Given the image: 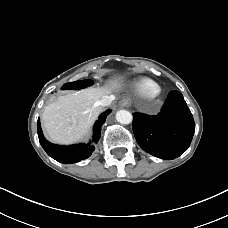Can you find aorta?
I'll return each mask as SVG.
<instances>
[{
  "label": "aorta",
  "mask_w": 228,
  "mask_h": 228,
  "mask_svg": "<svg viewBox=\"0 0 228 228\" xmlns=\"http://www.w3.org/2000/svg\"><path fill=\"white\" fill-rule=\"evenodd\" d=\"M132 119V114L127 110H119L116 113V120L121 124H130Z\"/></svg>",
  "instance_id": "762f6f07"
}]
</instances>
